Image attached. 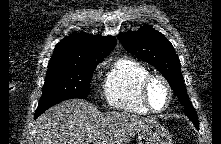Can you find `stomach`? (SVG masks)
<instances>
[{
	"label": "stomach",
	"instance_id": "0dacf381",
	"mask_svg": "<svg viewBox=\"0 0 221 144\" xmlns=\"http://www.w3.org/2000/svg\"><path fill=\"white\" fill-rule=\"evenodd\" d=\"M139 144H172V135L159 123L143 129L138 137Z\"/></svg>",
	"mask_w": 221,
	"mask_h": 144
}]
</instances>
